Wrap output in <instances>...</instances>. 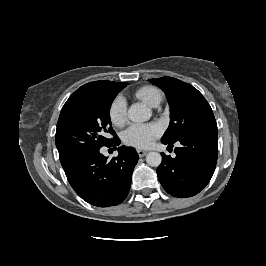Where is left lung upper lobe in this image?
Here are the masks:
<instances>
[{
  "mask_svg": "<svg viewBox=\"0 0 266 266\" xmlns=\"http://www.w3.org/2000/svg\"><path fill=\"white\" fill-rule=\"evenodd\" d=\"M149 81L165 92L170 106V124L162 142L173 144L200 131L218 130L209 103L192 85L172 77Z\"/></svg>",
  "mask_w": 266,
  "mask_h": 266,
  "instance_id": "5c2ea615",
  "label": "left lung upper lobe"
}]
</instances>
